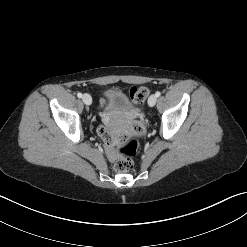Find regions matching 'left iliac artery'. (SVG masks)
I'll use <instances>...</instances> for the list:
<instances>
[{"instance_id": "1", "label": "left iliac artery", "mask_w": 247, "mask_h": 247, "mask_svg": "<svg viewBox=\"0 0 247 247\" xmlns=\"http://www.w3.org/2000/svg\"><path fill=\"white\" fill-rule=\"evenodd\" d=\"M155 95H156V97H159V96L161 95V93H160L159 91H157V92L155 93Z\"/></svg>"}]
</instances>
